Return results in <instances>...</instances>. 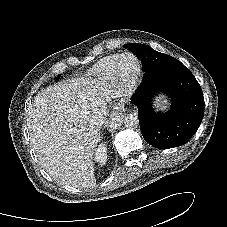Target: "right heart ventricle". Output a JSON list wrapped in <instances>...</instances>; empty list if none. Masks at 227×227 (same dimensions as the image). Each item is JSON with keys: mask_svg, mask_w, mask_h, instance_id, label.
Segmentation results:
<instances>
[{"mask_svg": "<svg viewBox=\"0 0 227 227\" xmlns=\"http://www.w3.org/2000/svg\"><path fill=\"white\" fill-rule=\"evenodd\" d=\"M120 55H110L103 59H101L93 68L92 75L100 78V79H110L113 76V71L117 60Z\"/></svg>", "mask_w": 227, "mask_h": 227, "instance_id": "1", "label": "right heart ventricle"}]
</instances>
